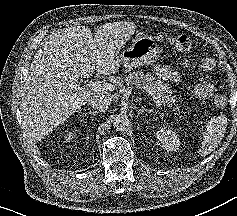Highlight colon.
Masks as SVG:
<instances>
[{
  "mask_svg": "<svg viewBox=\"0 0 237 216\" xmlns=\"http://www.w3.org/2000/svg\"><path fill=\"white\" fill-rule=\"evenodd\" d=\"M170 44L181 52H189L192 49L193 43L191 38L186 34L174 35L169 37ZM214 104L218 108H223L227 104V98L223 94L214 96Z\"/></svg>",
  "mask_w": 237,
  "mask_h": 216,
  "instance_id": "obj_1",
  "label": "colon"
}]
</instances>
